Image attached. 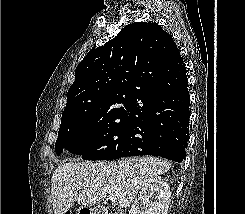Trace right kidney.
Returning a JSON list of instances; mask_svg holds the SVG:
<instances>
[{
	"label": "right kidney",
	"mask_w": 245,
	"mask_h": 214,
	"mask_svg": "<svg viewBox=\"0 0 245 214\" xmlns=\"http://www.w3.org/2000/svg\"><path fill=\"white\" fill-rule=\"evenodd\" d=\"M170 194L168 182L154 177L141 188L129 214H167Z\"/></svg>",
	"instance_id": "ca27d5eb"
}]
</instances>
